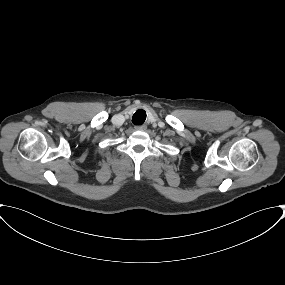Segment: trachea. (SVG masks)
I'll list each match as a JSON object with an SVG mask.
<instances>
[{
	"label": "trachea",
	"mask_w": 285,
	"mask_h": 285,
	"mask_svg": "<svg viewBox=\"0 0 285 285\" xmlns=\"http://www.w3.org/2000/svg\"><path fill=\"white\" fill-rule=\"evenodd\" d=\"M145 119H146L145 110L138 109L132 117V123L135 125H142L145 122Z\"/></svg>",
	"instance_id": "3493384b"
}]
</instances>
